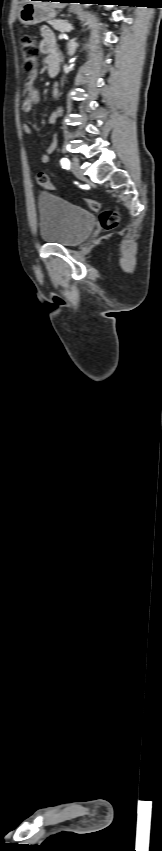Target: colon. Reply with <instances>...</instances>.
<instances>
[{"label":"colon","instance_id":"5ec220e1","mask_svg":"<svg viewBox=\"0 0 162 851\" xmlns=\"http://www.w3.org/2000/svg\"><path fill=\"white\" fill-rule=\"evenodd\" d=\"M20 50L23 67L25 71L30 73L35 68L38 54V48L34 37L31 35H23L20 40ZM35 178L39 186L47 189H53L46 173L42 171L37 172ZM84 202L94 211H98L100 209V203L95 199H84ZM119 220V213L112 209H106L100 214L101 225L106 230L115 228L118 225Z\"/></svg>","mask_w":162,"mask_h":851}]
</instances>
